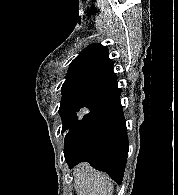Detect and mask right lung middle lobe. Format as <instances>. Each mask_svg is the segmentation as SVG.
Listing matches in <instances>:
<instances>
[{
	"label": "right lung middle lobe",
	"instance_id": "1",
	"mask_svg": "<svg viewBox=\"0 0 178 195\" xmlns=\"http://www.w3.org/2000/svg\"><path fill=\"white\" fill-rule=\"evenodd\" d=\"M95 99L96 96L91 95L62 96L59 114L63 120L62 132L67 131L65 139L83 119L80 112L83 110L87 111Z\"/></svg>",
	"mask_w": 178,
	"mask_h": 195
}]
</instances>
